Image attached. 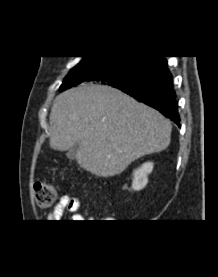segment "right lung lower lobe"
<instances>
[{
  "label": "right lung lower lobe",
  "instance_id": "98d812e1",
  "mask_svg": "<svg viewBox=\"0 0 218 277\" xmlns=\"http://www.w3.org/2000/svg\"><path fill=\"white\" fill-rule=\"evenodd\" d=\"M82 79V82L101 81L100 75L95 73H88ZM116 88L160 111L180 127L176 94L165 59L156 58L153 64L138 77Z\"/></svg>",
  "mask_w": 218,
  "mask_h": 277
}]
</instances>
